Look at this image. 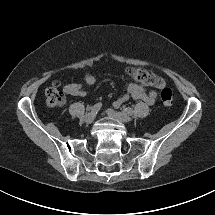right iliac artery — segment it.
Listing matches in <instances>:
<instances>
[{"label": "right iliac artery", "mask_w": 215, "mask_h": 215, "mask_svg": "<svg viewBox=\"0 0 215 215\" xmlns=\"http://www.w3.org/2000/svg\"><path fill=\"white\" fill-rule=\"evenodd\" d=\"M102 107V103L99 102V103H96L92 108H91V111L94 112V113H97Z\"/></svg>", "instance_id": "obj_1"}]
</instances>
